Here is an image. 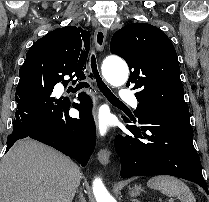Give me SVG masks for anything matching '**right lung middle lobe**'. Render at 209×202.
Returning a JSON list of instances; mask_svg holds the SVG:
<instances>
[{
    "instance_id": "dd1d6c3e",
    "label": "right lung middle lobe",
    "mask_w": 209,
    "mask_h": 202,
    "mask_svg": "<svg viewBox=\"0 0 209 202\" xmlns=\"http://www.w3.org/2000/svg\"><path fill=\"white\" fill-rule=\"evenodd\" d=\"M46 82H51V79L44 77Z\"/></svg>"
}]
</instances>
